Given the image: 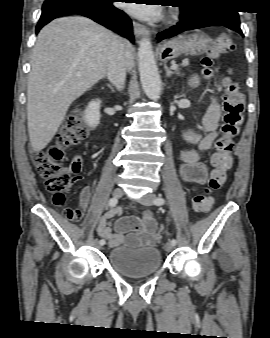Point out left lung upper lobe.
Listing matches in <instances>:
<instances>
[{
  "instance_id": "obj_1",
  "label": "left lung upper lobe",
  "mask_w": 270,
  "mask_h": 338,
  "mask_svg": "<svg viewBox=\"0 0 270 338\" xmlns=\"http://www.w3.org/2000/svg\"><path fill=\"white\" fill-rule=\"evenodd\" d=\"M229 2V0H180L181 12L185 15L198 13L209 6L220 5Z\"/></svg>"
}]
</instances>
